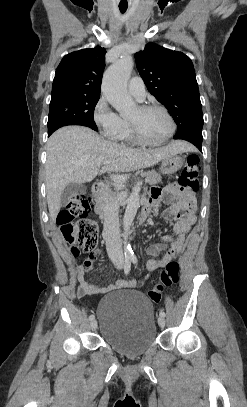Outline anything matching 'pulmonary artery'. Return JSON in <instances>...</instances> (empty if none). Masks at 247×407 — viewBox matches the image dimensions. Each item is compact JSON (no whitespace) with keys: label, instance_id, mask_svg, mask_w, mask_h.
<instances>
[{"label":"pulmonary artery","instance_id":"e3ab8cb5","mask_svg":"<svg viewBox=\"0 0 247 407\" xmlns=\"http://www.w3.org/2000/svg\"><path fill=\"white\" fill-rule=\"evenodd\" d=\"M128 90L129 93L138 101H143L146 97L145 85L140 77H134L129 81Z\"/></svg>","mask_w":247,"mask_h":407}]
</instances>
